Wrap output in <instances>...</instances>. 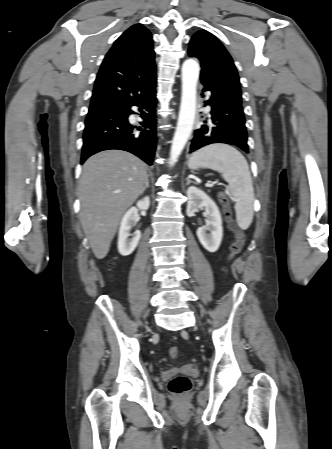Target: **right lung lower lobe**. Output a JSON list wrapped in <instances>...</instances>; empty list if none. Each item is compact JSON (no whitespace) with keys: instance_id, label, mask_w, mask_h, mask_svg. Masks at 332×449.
<instances>
[{"instance_id":"obj_1","label":"right lung lower lobe","mask_w":332,"mask_h":449,"mask_svg":"<svg viewBox=\"0 0 332 449\" xmlns=\"http://www.w3.org/2000/svg\"><path fill=\"white\" fill-rule=\"evenodd\" d=\"M156 90L120 106L88 113L83 134L81 163L91 155L109 149L133 153L152 165L156 150ZM143 119L140 126L129 123L128 117L137 114ZM139 131V132H138Z\"/></svg>"}]
</instances>
